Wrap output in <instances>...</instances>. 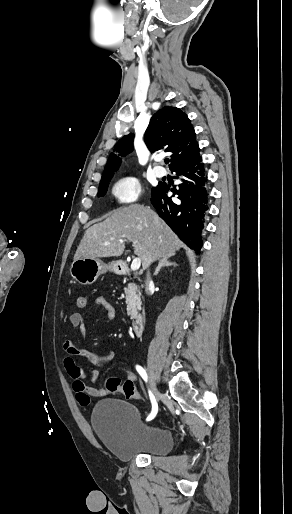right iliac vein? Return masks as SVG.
I'll list each match as a JSON object with an SVG mask.
<instances>
[{
  "mask_svg": "<svg viewBox=\"0 0 292 514\" xmlns=\"http://www.w3.org/2000/svg\"><path fill=\"white\" fill-rule=\"evenodd\" d=\"M151 385H152V392H153V395L155 397V399L158 401L161 397V393L160 391L158 390V388L156 387L153 379L151 378Z\"/></svg>",
  "mask_w": 292,
  "mask_h": 514,
  "instance_id": "1",
  "label": "right iliac vein"
}]
</instances>
